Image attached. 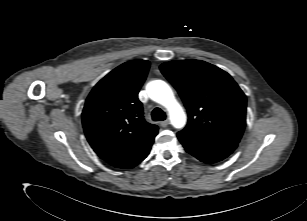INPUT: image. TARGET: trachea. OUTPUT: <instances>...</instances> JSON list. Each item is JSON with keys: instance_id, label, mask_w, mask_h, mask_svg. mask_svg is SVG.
Instances as JSON below:
<instances>
[{"instance_id": "obj_1", "label": "trachea", "mask_w": 307, "mask_h": 221, "mask_svg": "<svg viewBox=\"0 0 307 221\" xmlns=\"http://www.w3.org/2000/svg\"><path fill=\"white\" fill-rule=\"evenodd\" d=\"M151 115H152V119L154 121H162V120H165V118H166L165 112L160 108H155L152 111Z\"/></svg>"}]
</instances>
